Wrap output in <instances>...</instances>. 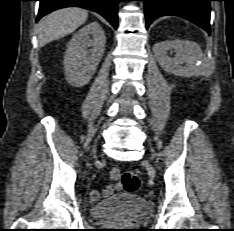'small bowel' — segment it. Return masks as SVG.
<instances>
[{"instance_id":"small-bowel-1","label":"small bowel","mask_w":234,"mask_h":231,"mask_svg":"<svg viewBox=\"0 0 234 231\" xmlns=\"http://www.w3.org/2000/svg\"><path fill=\"white\" fill-rule=\"evenodd\" d=\"M122 188L120 183H114L106 186L102 191L98 189H92L91 191V198L95 201L100 200L101 198L104 197H109L113 193L120 191Z\"/></svg>"}]
</instances>
